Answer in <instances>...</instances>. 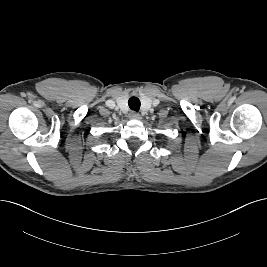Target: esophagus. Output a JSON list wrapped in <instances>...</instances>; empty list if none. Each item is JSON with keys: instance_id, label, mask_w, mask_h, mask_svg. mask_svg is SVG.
Masks as SVG:
<instances>
[{"instance_id": "obj_1", "label": "esophagus", "mask_w": 267, "mask_h": 267, "mask_svg": "<svg viewBox=\"0 0 267 267\" xmlns=\"http://www.w3.org/2000/svg\"><path fill=\"white\" fill-rule=\"evenodd\" d=\"M129 118H130V119L139 120V119H141V116H140L138 113H136V112H131V113L129 114Z\"/></svg>"}]
</instances>
